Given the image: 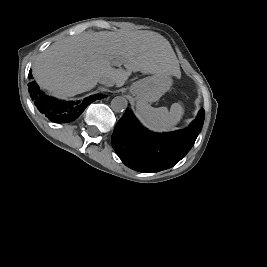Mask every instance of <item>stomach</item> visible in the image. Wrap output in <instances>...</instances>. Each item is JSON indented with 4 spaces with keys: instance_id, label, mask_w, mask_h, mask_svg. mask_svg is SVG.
Segmentation results:
<instances>
[{
    "instance_id": "obj_1",
    "label": "stomach",
    "mask_w": 267,
    "mask_h": 267,
    "mask_svg": "<svg viewBox=\"0 0 267 267\" xmlns=\"http://www.w3.org/2000/svg\"><path fill=\"white\" fill-rule=\"evenodd\" d=\"M172 85L170 76L154 74L134 82L130 87V93L138 101L152 103L167 92Z\"/></svg>"
}]
</instances>
